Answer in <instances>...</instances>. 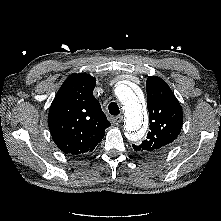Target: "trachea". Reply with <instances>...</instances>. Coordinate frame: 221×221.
<instances>
[{
    "label": "trachea",
    "instance_id": "3493384b",
    "mask_svg": "<svg viewBox=\"0 0 221 221\" xmlns=\"http://www.w3.org/2000/svg\"><path fill=\"white\" fill-rule=\"evenodd\" d=\"M108 109L111 115L116 116L120 113L119 107L116 102H111L108 106Z\"/></svg>",
    "mask_w": 221,
    "mask_h": 221
}]
</instances>
